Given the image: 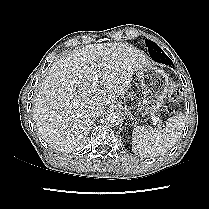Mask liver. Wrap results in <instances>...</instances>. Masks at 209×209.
Wrapping results in <instances>:
<instances>
[{
    "label": "liver",
    "mask_w": 209,
    "mask_h": 209,
    "mask_svg": "<svg viewBox=\"0 0 209 209\" xmlns=\"http://www.w3.org/2000/svg\"><path fill=\"white\" fill-rule=\"evenodd\" d=\"M147 59L119 43L90 44L57 61L34 99V121L41 138L53 149L71 153L87 142L92 112L124 96L132 77ZM93 72L98 83L92 85Z\"/></svg>",
    "instance_id": "6515ba94"
}]
</instances>
